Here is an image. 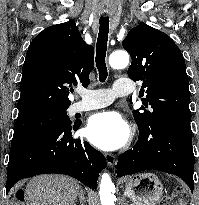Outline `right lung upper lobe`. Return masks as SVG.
Segmentation results:
<instances>
[{"label": "right lung upper lobe", "mask_w": 199, "mask_h": 205, "mask_svg": "<svg viewBox=\"0 0 199 205\" xmlns=\"http://www.w3.org/2000/svg\"><path fill=\"white\" fill-rule=\"evenodd\" d=\"M94 48L73 20L44 29L31 42L22 70L19 114L69 107L70 86L90 83Z\"/></svg>", "instance_id": "obj_1"}]
</instances>
